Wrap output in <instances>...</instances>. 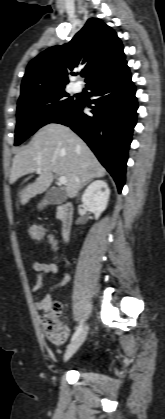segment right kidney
Returning a JSON list of instances; mask_svg holds the SVG:
<instances>
[{
	"label": "right kidney",
	"mask_w": 165,
	"mask_h": 419,
	"mask_svg": "<svg viewBox=\"0 0 165 419\" xmlns=\"http://www.w3.org/2000/svg\"><path fill=\"white\" fill-rule=\"evenodd\" d=\"M110 196V189L103 180L92 182L82 195L83 204L98 219L101 213L106 209Z\"/></svg>",
	"instance_id": "right-kidney-1"
}]
</instances>
